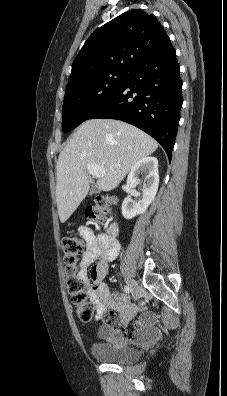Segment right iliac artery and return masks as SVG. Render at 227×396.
Listing matches in <instances>:
<instances>
[{
	"instance_id": "right-iliac-artery-1",
	"label": "right iliac artery",
	"mask_w": 227,
	"mask_h": 396,
	"mask_svg": "<svg viewBox=\"0 0 227 396\" xmlns=\"http://www.w3.org/2000/svg\"><path fill=\"white\" fill-rule=\"evenodd\" d=\"M124 291L129 294L131 292V289L129 286H124Z\"/></svg>"
}]
</instances>
